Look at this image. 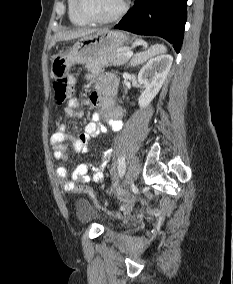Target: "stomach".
<instances>
[{
    "mask_svg": "<svg viewBox=\"0 0 233 284\" xmlns=\"http://www.w3.org/2000/svg\"><path fill=\"white\" fill-rule=\"evenodd\" d=\"M130 42L120 31L104 29L78 40L71 49L51 57L50 75L53 79L67 75L75 64H89L99 57L116 51Z\"/></svg>",
    "mask_w": 233,
    "mask_h": 284,
    "instance_id": "obj_1",
    "label": "stomach"
}]
</instances>
